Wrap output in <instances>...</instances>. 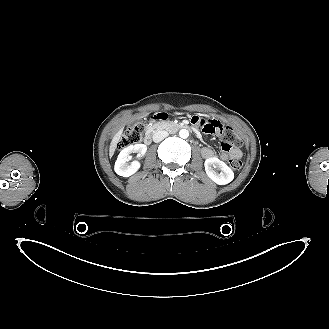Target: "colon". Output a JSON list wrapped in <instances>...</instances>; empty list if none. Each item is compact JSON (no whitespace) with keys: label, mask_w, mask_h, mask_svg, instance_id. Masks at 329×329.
<instances>
[{"label":"colon","mask_w":329,"mask_h":329,"mask_svg":"<svg viewBox=\"0 0 329 329\" xmlns=\"http://www.w3.org/2000/svg\"><path fill=\"white\" fill-rule=\"evenodd\" d=\"M163 116H167V113H163ZM143 130L144 128L141 124L127 128L124 131L120 141L118 142V149L122 150L139 143L143 136ZM217 135L221 137L222 147L225 150H229L232 147H236L241 144L240 138L230 127L226 126L224 129L218 132ZM229 165L233 170L238 171L242 168L243 162L239 157H231L229 160Z\"/></svg>","instance_id":"5ec220e1"}]
</instances>
